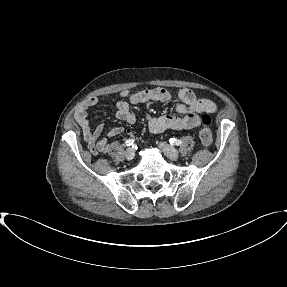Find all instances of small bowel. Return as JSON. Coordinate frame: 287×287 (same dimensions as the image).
Segmentation results:
<instances>
[{"label":"small bowel","instance_id":"c3829d8e","mask_svg":"<svg viewBox=\"0 0 287 287\" xmlns=\"http://www.w3.org/2000/svg\"><path fill=\"white\" fill-rule=\"evenodd\" d=\"M177 96L179 102L176 103L175 108L182 116L163 115L155 117L146 113L148 128L152 133H161L169 129L185 131L196 128L201 124L200 113H214L216 111L214 102L208 99H198L191 90L182 89L177 92ZM120 97L121 99L116 103V116L119 120L133 124L136 121V116L130 109L131 105L144 104L152 101L168 102L172 99V93L163 88L144 89L133 94L125 90L121 92ZM99 101V97L93 96L88 98L76 110L74 116L82 130L87 147L93 155L108 150L109 138L118 136L124 132L128 135L132 134L131 130L114 127L108 131L106 137L99 139L104 126L103 124H99L93 130L87 113L88 109L95 106Z\"/></svg>","mask_w":287,"mask_h":287}]
</instances>
